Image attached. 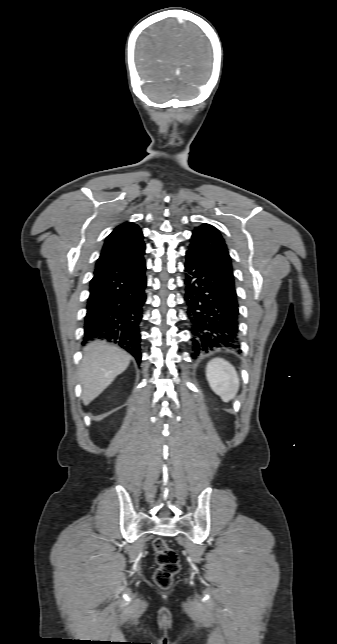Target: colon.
<instances>
[{
  "mask_svg": "<svg viewBox=\"0 0 337 644\" xmlns=\"http://www.w3.org/2000/svg\"><path fill=\"white\" fill-rule=\"evenodd\" d=\"M153 548L156 553V562L158 565L154 575L155 582L159 587L167 589L172 585L173 578L179 571L178 553L168 546L162 538H156L154 540Z\"/></svg>",
  "mask_w": 337,
  "mask_h": 644,
  "instance_id": "1",
  "label": "colon"
}]
</instances>
